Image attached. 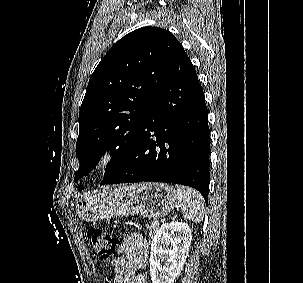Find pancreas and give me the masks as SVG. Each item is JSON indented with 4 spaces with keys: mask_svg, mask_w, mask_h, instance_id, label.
<instances>
[{
    "mask_svg": "<svg viewBox=\"0 0 303 283\" xmlns=\"http://www.w3.org/2000/svg\"><path fill=\"white\" fill-rule=\"evenodd\" d=\"M147 228L149 229L150 238H153L154 235L159 231V226L154 221L150 225H147Z\"/></svg>",
    "mask_w": 303,
    "mask_h": 283,
    "instance_id": "cf45deb5",
    "label": "pancreas"
}]
</instances>
